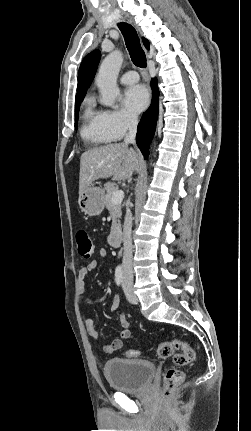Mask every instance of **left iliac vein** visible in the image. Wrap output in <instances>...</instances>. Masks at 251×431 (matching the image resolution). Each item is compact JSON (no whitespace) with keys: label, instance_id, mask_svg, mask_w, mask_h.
Segmentation results:
<instances>
[{"label":"left iliac vein","instance_id":"1","mask_svg":"<svg viewBox=\"0 0 251 431\" xmlns=\"http://www.w3.org/2000/svg\"><path fill=\"white\" fill-rule=\"evenodd\" d=\"M124 292H125V295H126L127 300H128L130 303H132V304L137 303V297H136V295L134 294V292H133V290H132L131 286H129V285H127V284H125V285H124Z\"/></svg>","mask_w":251,"mask_h":431}]
</instances>
